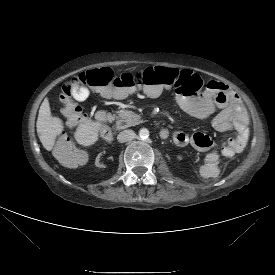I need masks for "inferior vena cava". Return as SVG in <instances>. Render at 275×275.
<instances>
[{
    "mask_svg": "<svg viewBox=\"0 0 275 275\" xmlns=\"http://www.w3.org/2000/svg\"><path fill=\"white\" fill-rule=\"evenodd\" d=\"M135 136V133L133 130H124L122 132H120L117 136V140L120 143H124L126 141L132 140Z\"/></svg>",
    "mask_w": 275,
    "mask_h": 275,
    "instance_id": "1",
    "label": "inferior vena cava"
}]
</instances>
